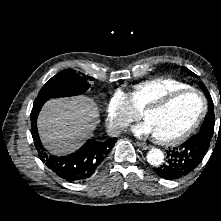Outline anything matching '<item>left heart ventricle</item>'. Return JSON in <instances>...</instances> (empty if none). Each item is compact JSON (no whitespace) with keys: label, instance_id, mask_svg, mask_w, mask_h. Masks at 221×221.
<instances>
[{"label":"left heart ventricle","instance_id":"b2bd125f","mask_svg":"<svg viewBox=\"0 0 221 221\" xmlns=\"http://www.w3.org/2000/svg\"><path fill=\"white\" fill-rule=\"evenodd\" d=\"M200 110V97L189 93L180 96L164 109L147 114L144 121L150 125L154 136L170 138L184 131Z\"/></svg>","mask_w":221,"mask_h":221}]
</instances>
